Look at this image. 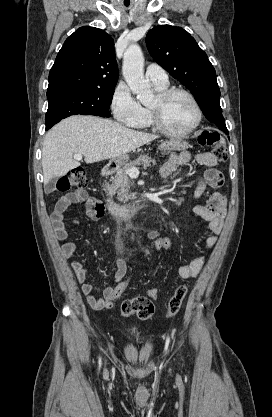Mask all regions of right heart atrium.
<instances>
[{"label":"right heart atrium","instance_id":"d8ad5b80","mask_svg":"<svg viewBox=\"0 0 272 417\" xmlns=\"http://www.w3.org/2000/svg\"><path fill=\"white\" fill-rule=\"evenodd\" d=\"M110 107L115 119L127 126L134 125L142 115V106L124 82H120L115 87Z\"/></svg>","mask_w":272,"mask_h":417}]
</instances>
